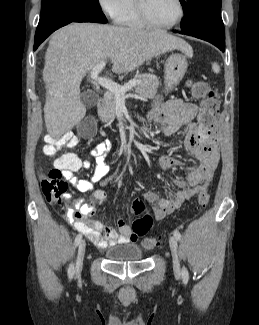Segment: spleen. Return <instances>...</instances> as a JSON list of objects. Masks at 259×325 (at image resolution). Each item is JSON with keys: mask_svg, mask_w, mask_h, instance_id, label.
Masks as SVG:
<instances>
[{"mask_svg": "<svg viewBox=\"0 0 259 325\" xmlns=\"http://www.w3.org/2000/svg\"><path fill=\"white\" fill-rule=\"evenodd\" d=\"M212 70L214 73H219L220 72V66L217 63L212 64Z\"/></svg>", "mask_w": 259, "mask_h": 325, "instance_id": "1", "label": "spleen"}]
</instances>
